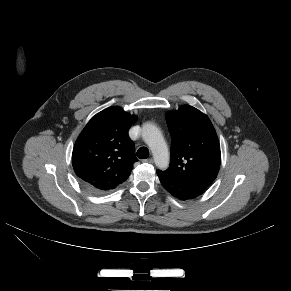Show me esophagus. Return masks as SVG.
I'll return each mask as SVG.
<instances>
[{
  "instance_id": "1",
  "label": "esophagus",
  "mask_w": 291,
  "mask_h": 291,
  "mask_svg": "<svg viewBox=\"0 0 291 291\" xmlns=\"http://www.w3.org/2000/svg\"><path fill=\"white\" fill-rule=\"evenodd\" d=\"M143 162H147V163L152 164L154 162V160L152 158H149V159H144Z\"/></svg>"
}]
</instances>
